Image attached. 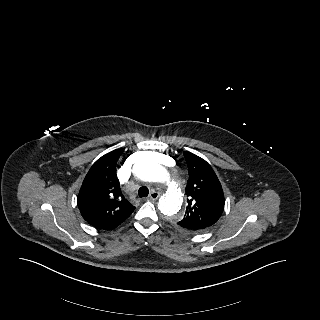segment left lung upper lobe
<instances>
[{"mask_svg": "<svg viewBox=\"0 0 320 320\" xmlns=\"http://www.w3.org/2000/svg\"><path fill=\"white\" fill-rule=\"evenodd\" d=\"M189 179L186 186L187 208L177 226L203 231L220 218L224 210V193L212 167L199 156L184 152Z\"/></svg>", "mask_w": 320, "mask_h": 320, "instance_id": "left-lung-upper-lobe-1", "label": "left lung upper lobe"}]
</instances>
